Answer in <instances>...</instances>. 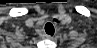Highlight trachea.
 <instances>
[{
	"label": "trachea",
	"mask_w": 97,
	"mask_h": 48,
	"mask_svg": "<svg viewBox=\"0 0 97 48\" xmlns=\"http://www.w3.org/2000/svg\"><path fill=\"white\" fill-rule=\"evenodd\" d=\"M45 32H46L48 35L53 36V35H54V32H55L54 26H53L51 23H47V24L45 25Z\"/></svg>",
	"instance_id": "3493384b"
}]
</instances>
